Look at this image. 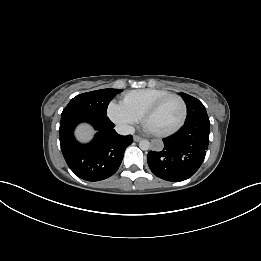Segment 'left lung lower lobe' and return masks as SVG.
<instances>
[{"label": "left lung lower lobe", "instance_id": "1", "mask_svg": "<svg viewBox=\"0 0 261 261\" xmlns=\"http://www.w3.org/2000/svg\"><path fill=\"white\" fill-rule=\"evenodd\" d=\"M209 118L185 123L174 135L163 139V146L147 155L149 168L167 181H183L201 166L209 143Z\"/></svg>", "mask_w": 261, "mask_h": 261}]
</instances>
